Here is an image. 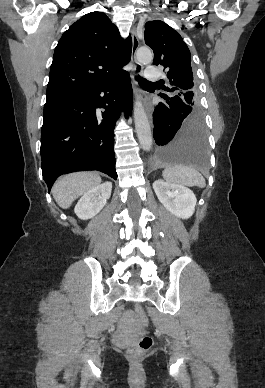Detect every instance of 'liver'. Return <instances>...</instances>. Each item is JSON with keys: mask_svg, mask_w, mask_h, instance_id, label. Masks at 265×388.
<instances>
[{"mask_svg": "<svg viewBox=\"0 0 265 388\" xmlns=\"http://www.w3.org/2000/svg\"><path fill=\"white\" fill-rule=\"evenodd\" d=\"M100 184L101 178L99 174H94V172L67 174L55 182L52 188L53 198L60 208L67 210L79 196H83Z\"/></svg>", "mask_w": 265, "mask_h": 388, "instance_id": "6515ba94", "label": "liver"}]
</instances>
